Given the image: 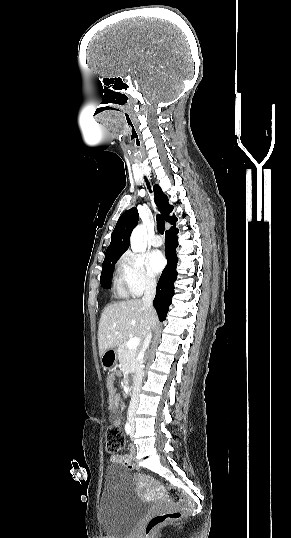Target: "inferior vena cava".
Masks as SVG:
<instances>
[{"label":"inferior vena cava","instance_id":"1","mask_svg":"<svg viewBox=\"0 0 291 538\" xmlns=\"http://www.w3.org/2000/svg\"><path fill=\"white\" fill-rule=\"evenodd\" d=\"M155 293H156V281L151 280V279L146 280L145 292H144L142 301H143V305L146 306L149 310H152V303H153ZM151 337H152V334L151 332H149V334L144 340L142 353H144L146 349L148 348L151 342ZM143 362L144 361L142 360L141 363L143 364ZM143 375H144L143 366L140 365L137 369L135 386H134L133 394L131 397V402H130L128 413H127L128 420L130 423H134V418H135L136 410L138 408V403H139V393H140V388L142 385Z\"/></svg>","mask_w":291,"mask_h":538}]
</instances>
